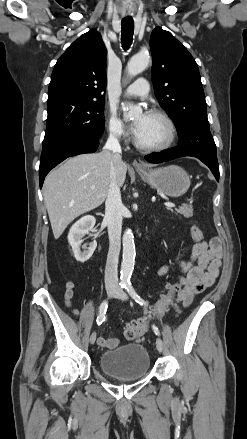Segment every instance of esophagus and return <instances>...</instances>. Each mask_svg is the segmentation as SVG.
Segmentation results:
<instances>
[{
    "label": "esophagus",
    "mask_w": 247,
    "mask_h": 439,
    "mask_svg": "<svg viewBox=\"0 0 247 439\" xmlns=\"http://www.w3.org/2000/svg\"><path fill=\"white\" fill-rule=\"evenodd\" d=\"M133 166L135 169H145V165L139 160H134Z\"/></svg>",
    "instance_id": "obj_1"
}]
</instances>
